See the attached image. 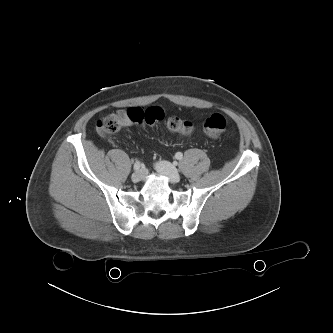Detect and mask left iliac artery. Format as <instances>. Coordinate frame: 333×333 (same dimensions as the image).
I'll use <instances>...</instances> for the list:
<instances>
[{
  "instance_id": "left-iliac-artery-1",
  "label": "left iliac artery",
  "mask_w": 333,
  "mask_h": 333,
  "mask_svg": "<svg viewBox=\"0 0 333 333\" xmlns=\"http://www.w3.org/2000/svg\"><path fill=\"white\" fill-rule=\"evenodd\" d=\"M175 158L178 159V160H181L183 158V154L181 152H177L175 154Z\"/></svg>"
}]
</instances>
